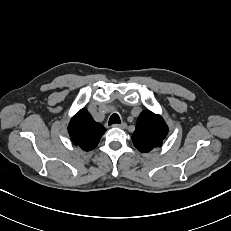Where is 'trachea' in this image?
<instances>
[{
	"mask_svg": "<svg viewBox=\"0 0 231 231\" xmlns=\"http://www.w3.org/2000/svg\"><path fill=\"white\" fill-rule=\"evenodd\" d=\"M120 123H121V120H120V117L117 114L111 115V117L109 119V125L120 124Z\"/></svg>",
	"mask_w": 231,
	"mask_h": 231,
	"instance_id": "obj_1",
	"label": "trachea"
}]
</instances>
